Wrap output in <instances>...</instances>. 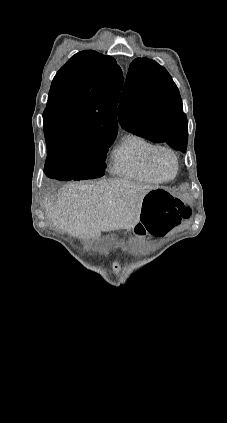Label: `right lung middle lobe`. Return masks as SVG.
Returning <instances> with one entry per match:
<instances>
[{
  "mask_svg": "<svg viewBox=\"0 0 227 423\" xmlns=\"http://www.w3.org/2000/svg\"><path fill=\"white\" fill-rule=\"evenodd\" d=\"M115 137H68L46 142V163L70 166V180L99 178L104 174L106 153Z\"/></svg>",
  "mask_w": 227,
  "mask_h": 423,
  "instance_id": "dd1d6c3e",
  "label": "right lung middle lobe"
}]
</instances>
